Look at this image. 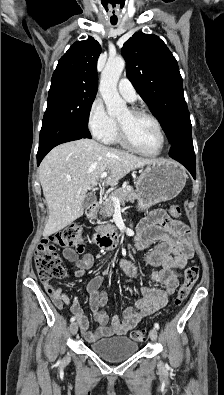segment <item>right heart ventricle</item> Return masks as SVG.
<instances>
[{
  "label": "right heart ventricle",
  "instance_id": "obj_1",
  "mask_svg": "<svg viewBox=\"0 0 224 395\" xmlns=\"http://www.w3.org/2000/svg\"><path fill=\"white\" fill-rule=\"evenodd\" d=\"M104 141L109 144H122L119 140L117 125L114 131L111 133V135L108 138H106Z\"/></svg>",
  "mask_w": 224,
  "mask_h": 395
}]
</instances>
